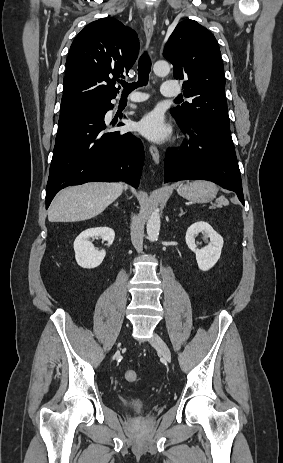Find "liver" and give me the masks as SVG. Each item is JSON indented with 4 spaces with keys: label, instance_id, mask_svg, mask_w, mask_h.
Segmentation results:
<instances>
[{
    "label": "liver",
    "instance_id": "obj_1",
    "mask_svg": "<svg viewBox=\"0 0 283 463\" xmlns=\"http://www.w3.org/2000/svg\"><path fill=\"white\" fill-rule=\"evenodd\" d=\"M123 183L93 182L63 189L48 210L50 222L84 221L102 213L123 192Z\"/></svg>",
    "mask_w": 283,
    "mask_h": 463
}]
</instances>
